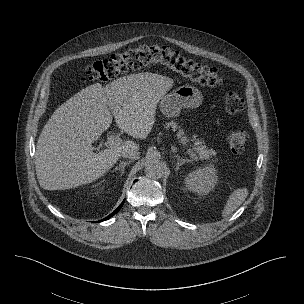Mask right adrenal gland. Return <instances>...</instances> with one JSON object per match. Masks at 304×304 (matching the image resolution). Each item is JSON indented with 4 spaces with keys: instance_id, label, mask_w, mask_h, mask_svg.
<instances>
[{
    "instance_id": "1",
    "label": "right adrenal gland",
    "mask_w": 304,
    "mask_h": 304,
    "mask_svg": "<svg viewBox=\"0 0 304 304\" xmlns=\"http://www.w3.org/2000/svg\"><path fill=\"white\" fill-rule=\"evenodd\" d=\"M131 162H132V160H130V161H125V162H121V163L119 164V166L115 167V169H114L113 171L120 170V171H121V174H123L124 171H125L126 165H129Z\"/></svg>"
}]
</instances>
